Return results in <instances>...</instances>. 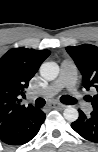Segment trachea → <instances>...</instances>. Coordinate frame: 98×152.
Instances as JSON below:
<instances>
[{"label":"trachea","instance_id":"1","mask_svg":"<svg viewBox=\"0 0 98 152\" xmlns=\"http://www.w3.org/2000/svg\"><path fill=\"white\" fill-rule=\"evenodd\" d=\"M60 101L62 103H64V104H73V103H75V100L72 97L68 96V95L62 96L60 98ZM44 105H45V100L43 98L36 99L35 106L37 108H42Z\"/></svg>","mask_w":98,"mask_h":152}]
</instances>
